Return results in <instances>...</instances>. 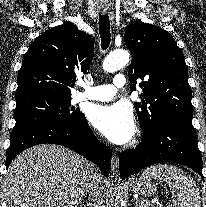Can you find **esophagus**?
<instances>
[{
	"label": "esophagus",
	"instance_id": "1",
	"mask_svg": "<svg viewBox=\"0 0 206 207\" xmlns=\"http://www.w3.org/2000/svg\"><path fill=\"white\" fill-rule=\"evenodd\" d=\"M111 171L114 176L118 177L119 175V157L116 153H113L111 158Z\"/></svg>",
	"mask_w": 206,
	"mask_h": 207
}]
</instances>
